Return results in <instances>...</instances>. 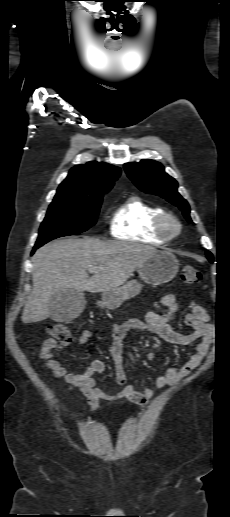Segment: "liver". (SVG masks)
Listing matches in <instances>:
<instances>
[{"label":"liver","instance_id":"obj_1","mask_svg":"<svg viewBox=\"0 0 230 517\" xmlns=\"http://www.w3.org/2000/svg\"><path fill=\"white\" fill-rule=\"evenodd\" d=\"M157 250L148 245L95 238L63 239L33 256V290L24 307V323L50 317L48 303L59 291L104 292L120 287ZM89 266L98 269L88 276Z\"/></svg>","mask_w":230,"mask_h":517}]
</instances>
